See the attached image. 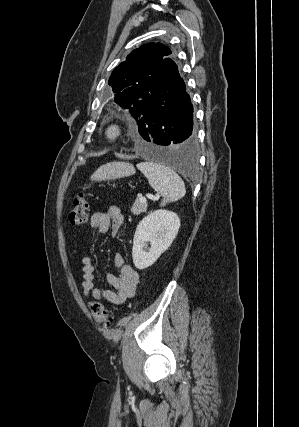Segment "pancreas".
<instances>
[{
  "instance_id": "1",
  "label": "pancreas",
  "mask_w": 299,
  "mask_h": 427,
  "mask_svg": "<svg viewBox=\"0 0 299 427\" xmlns=\"http://www.w3.org/2000/svg\"><path fill=\"white\" fill-rule=\"evenodd\" d=\"M147 203L146 202H142L140 201V199L135 200V202L133 203L132 207H131V212L134 215H140L144 212H146L147 210Z\"/></svg>"
}]
</instances>
